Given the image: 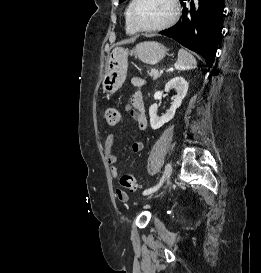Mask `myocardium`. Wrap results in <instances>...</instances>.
I'll list each match as a JSON object with an SVG mask.
<instances>
[{
  "label": "myocardium",
  "mask_w": 261,
  "mask_h": 273,
  "mask_svg": "<svg viewBox=\"0 0 261 273\" xmlns=\"http://www.w3.org/2000/svg\"><path fill=\"white\" fill-rule=\"evenodd\" d=\"M138 2V0H132L129 8H128V13H127V18H128V22L130 24V26L136 31V32H145V33H151V32H159V31H163L165 29L170 28L171 26H173L176 21L178 20L179 17V3L178 0H169L171 6H172V14L170 16V18L157 26H153V27H140L138 25L135 24V22L133 21V10L135 8L136 3Z\"/></svg>",
  "instance_id": "f54148a6"
}]
</instances>
